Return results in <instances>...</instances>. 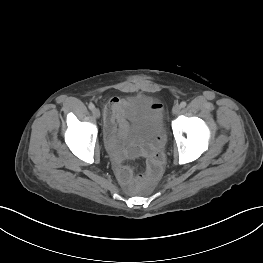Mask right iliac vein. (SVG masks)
<instances>
[{"mask_svg": "<svg viewBox=\"0 0 263 263\" xmlns=\"http://www.w3.org/2000/svg\"><path fill=\"white\" fill-rule=\"evenodd\" d=\"M93 115H94V117L95 118H100V111H99V109H97V108H94L93 109Z\"/></svg>", "mask_w": 263, "mask_h": 263, "instance_id": "63e3f726", "label": "right iliac vein"}]
</instances>
